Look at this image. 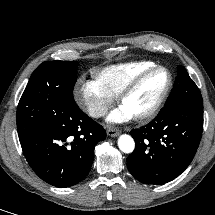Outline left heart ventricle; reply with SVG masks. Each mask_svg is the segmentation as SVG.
I'll list each match as a JSON object with an SVG mask.
<instances>
[{
    "label": "left heart ventricle",
    "mask_w": 215,
    "mask_h": 215,
    "mask_svg": "<svg viewBox=\"0 0 215 215\" xmlns=\"http://www.w3.org/2000/svg\"><path fill=\"white\" fill-rule=\"evenodd\" d=\"M167 81L164 71H156L147 77L138 88L124 101L123 107L131 116L149 109L162 92Z\"/></svg>",
    "instance_id": "b2bd125f"
}]
</instances>
